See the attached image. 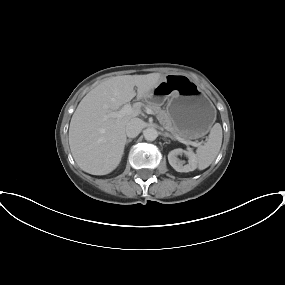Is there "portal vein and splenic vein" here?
Instances as JSON below:
<instances>
[{
	"instance_id": "obj_1",
	"label": "portal vein and splenic vein",
	"mask_w": 285,
	"mask_h": 285,
	"mask_svg": "<svg viewBox=\"0 0 285 285\" xmlns=\"http://www.w3.org/2000/svg\"><path fill=\"white\" fill-rule=\"evenodd\" d=\"M132 112H133L132 106L130 104H125L119 111L112 112L110 114V116L111 117H116V118H121L124 115L131 114ZM146 113L147 114H151V115L154 114V112L151 109H147ZM174 137L176 138V140H178L179 142H181L183 144H186V145H191V146L197 147V146H199L201 144V142L198 143V142L186 140L184 138L179 137L178 135H174Z\"/></svg>"
}]
</instances>
